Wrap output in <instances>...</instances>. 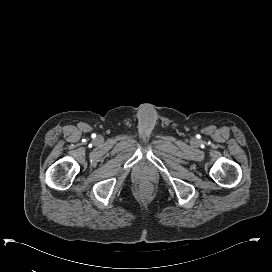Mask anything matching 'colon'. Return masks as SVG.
<instances>
[{
	"label": "colon",
	"instance_id": "colon-1",
	"mask_svg": "<svg viewBox=\"0 0 272 272\" xmlns=\"http://www.w3.org/2000/svg\"><path fill=\"white\" fill-rule=\"evenodd\" d=\"M141 192L142 194L144 195H150L151 192H152V187L148 184H144L142 187H141Z\"/></svg>",
	"mask_w": 272,
	"mask_h": 272
}]
</instances>
